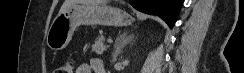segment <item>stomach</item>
I'll use <instances>...</instances> for the list:
<instances>
[{"label":"stomach","mask_w":244,"mask_h":73,"mask_svg":"<svg viewBox=\"0 0 244 73\" xmlns=\"http://www.w3.org/2000/svg\"><path fill=\"white\" fill-rule=\"evenodd\" d=\"M133 18L118 8L100 4L75 3L59 13L47 33V45L51 50L64 49L80 25L128 26Z\"/></svg>","instance_id":"obj_1"}]
</instances>
